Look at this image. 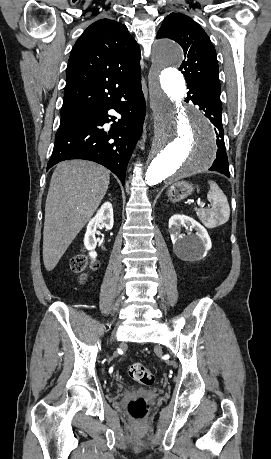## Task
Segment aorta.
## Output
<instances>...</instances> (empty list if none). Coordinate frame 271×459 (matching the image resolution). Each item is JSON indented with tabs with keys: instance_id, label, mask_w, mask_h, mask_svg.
Wrapping results in <instances>:
<instances>
[{
	"instance_id": "obj_1",
	"label": "aorta",
	"mask_w": 271,
	"mask_h": 459,
	"mask_svg": "<svg viewBox=\"0 0 271 459\" xmlns=\"http://www.w3.org/2000/svg\"><path fill=\"white\" fill-rule=\"evenodd\" d=\"M181 47L162 40L154 47L149 78L155 133L145 181L149 186L173 182L206 171L216 157V136L209 121L183 105L186 84L177 66Z\"/></svg>"
}]
</instances>
